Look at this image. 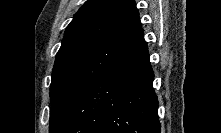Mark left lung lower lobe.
<instances>
[{
  "label": "left lung lower lobe",
  "mask_w": 221,
  "mask_h": 133,
  "mask_svg": "<svg viewBox=\"0 0 221 133\" xmlns=\"http://www.w3.org/2000/svg\"><path fill=\"white\" fill-rule=\"evenodd\" d=\"M153 79L142 40L90 83L55 133H160Z\"/></svg>",
  "instance_id": "0a47b994"
}]
</instances>
